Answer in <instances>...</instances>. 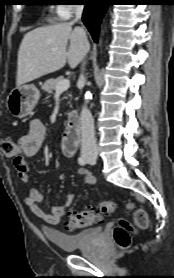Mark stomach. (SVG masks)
Here are the masks:
<instances>
[{
  "mask_svg": "<svg viewBox=\"0 0 174 278\" xmlns=\"http://www.w3.org/2000/svg\"><path fill=\"white\" fill-rule=\"evenodd\" d=\"M40 99L34 85H21L11 90L6 98V107L12 116L23 118L29 115Z\"/></svg>",
  "mask_w": 174,
  "mask_h": 278,
  "instance_id": "stomach-1",
  "label": "stomach"
}]
</instances>
